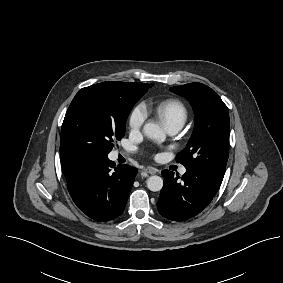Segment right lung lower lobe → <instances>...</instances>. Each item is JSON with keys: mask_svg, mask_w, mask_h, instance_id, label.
<instances>
[{"mask_svg": "<svg viewBox=\"0 0 283 283\" xmlns=\"http://www.w3.org/2000/svg\"><path fill=\"white\" fill-rule=\"evenodd\" d=\"M108 157H93L79 166L66 180L78 208L96 221H109L122 214L137 169L119 165Z\"/></svg>", "mask_w": 283, "mask_h": 283, "instance_id": "obj_1", "label": "right lung lower lobe"}]
</instances>
